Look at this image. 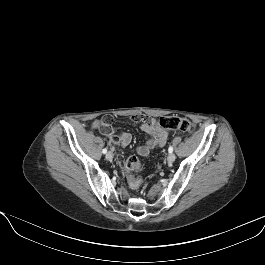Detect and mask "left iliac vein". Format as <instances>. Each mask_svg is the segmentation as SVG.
Segmentation results:
<instances>
[{
  "label": "left iliac vein",
  "mask_w": 265,
  "mask_h": 265,
  "mask_svg": "<svg viewBox=\"0 0 265 265\" xmlns=\"http://www.w3.org/2000/svg\"><path fill=\"white\" fill-rule=\"evenodd\" d=\"M175 159H176V156H175V154H173V153H170V154L168 155V157H167V161H168V163H173V162L175 161Z\"/></svg>",
  "instance_id": "1"
}]
</instances>
